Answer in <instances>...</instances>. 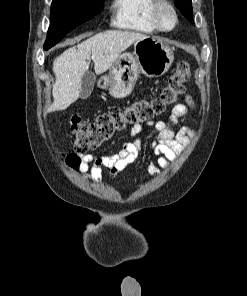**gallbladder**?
Wrapping results in <instances>:
<instances>
[{"label":"gallbladder","mask_w":247,"mask_h":296,"mask_svg":"<svg viewBox=\"0 0 247 296\" xmlns=\"http://www.w3.org/2000/svg\"><path fill=\"white\" fill-rule=\"evenodd\" d=\"M94 75L91 72H86L81 81V92H80V98L81 99H87L93 90L94 86Z\"/></svg>","instance_id":"obj_1"}]
</instances>
